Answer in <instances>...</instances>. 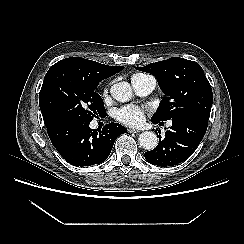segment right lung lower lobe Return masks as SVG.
Returning a JSON list of instances; mask_svg holds the SVG:
<instances>
[{"label":"right lung lower lobe","instance_id":"obj_1","mask_svg":"<svg viewBox=\"0 0 244 244\" xmlns=\"http://www.w3.org/2000/svg\"><path fill=\"white\" fill-rule=\"evenodd\" d=\"M90 122L72 120L47 127L49 138L70 164L83 167L100 164L105 161L116 138L127 132L118 124H106L102 130L91 129Z\"/></svg>","mask_w":244,"mask_h":244}]
</instances>
